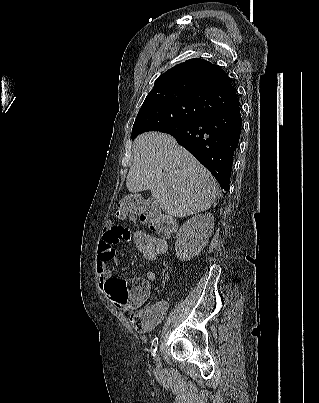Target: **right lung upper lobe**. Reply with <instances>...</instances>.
I'll list each match as a JSON object with an SVG mask.
<instances>
[{"label":"right lung upper lobe","instance_id":"cb5924a9","mask_svg":"<svg viewBox=\"0 0 319 403\" xmlns=\"http://www.w3.org/2000/svg\"><path fill=\"white\" fill-rule=\"evenodd\" d=\"M160 103H192L210 112L240 105L226 73L203 59H190L163 73L142 107Z\"/></svg>","mask_w":319,"mask_h":403}]
</instances>
